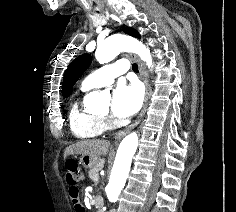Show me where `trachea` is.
Wrapping results in <instances>:
<instances>
[{"label":"trachea","mask_w":236,"mask_h":212,"mask_svg":"<svg viewBox=\"0 0 236 212\" xmlns=\"http://www.w3.org/2000/svg\"><path fill=\"white\" fill-rule=\"evenodd\" d=\"M132 70H133L134 72H138V65L134 63V64L132 65Z\"/></svg>","instance_id":"obj_1"}]
</instances>
